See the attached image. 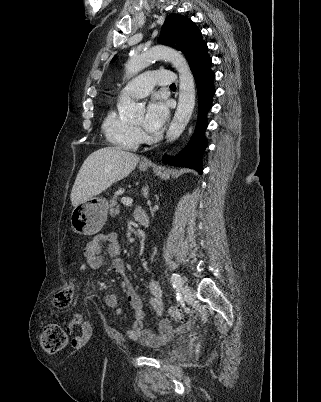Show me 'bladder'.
I'll list each match as a JSON object with an SVG mask.
<instances>
[{"label": "bladder", "instance_id": "bladder-1", "mask_svg": "<svg viewBox=\"0 0 321 402\" xmlns=\"http://www.w3.org/2000/svg\"><path fill=\"white\" fill-rule=\"evenodd\" d=\"M168 343H169V340L165 341L164 343L161 344V347H162V348H167V347H168ZM166 352H167V351H163L162 353H166Z\"/></svg>", "mask_w": 321, "mask_h": 402}]
</instances>
